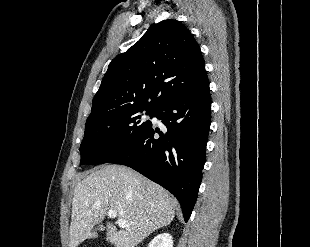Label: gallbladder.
Returning a JSON list of instances; mask_svg holds the SVG:
<instances>
[{"label":"gallbladder","mask_w":310,"mask_h":247,"mask_svg":"<svg viewBox=\"0 0 310 247\" xmlns=\"http://www.w3.org/2000/svg\"><path fill=\"white\" fill-rule=\"evenodd\" d=\"M104 229H105V227H100L99 229H95V230L93 231V234L91 235V237H94V236H95V233H96L97 230H104Z\"/></svg>","instance_id":"1"}]
</instances>
